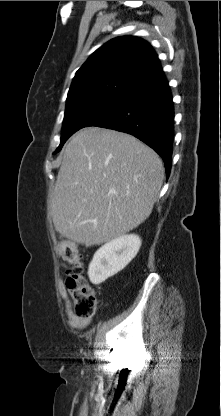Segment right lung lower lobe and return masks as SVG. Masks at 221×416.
Segmentation results:
<instances>
[{
  "instance_id": "1",
  "label": "right lung lower lobe",
  "mask_w": 221,
  "mask_h": 416,
  "mask_svg": "<svg viewBox=\"0 0 221 416\" xmlns=\"http://www.w3.org/2000/svg\"><path fill=\"white\" fill-rule=\"evenodd\" d=\"M94 126L134 135L154 149L165 163L166 177L172 165L174 110L168 82L128 94Z\"/></svg>"
}]
</instances>
